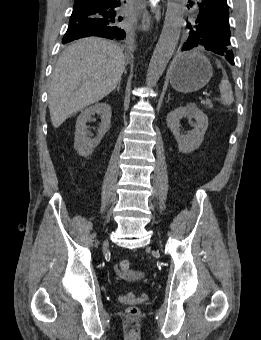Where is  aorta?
<instances>
[{
	"label": "aorta",
	"mask_w": 261,
	"mask_h": 340,
	"mask_svg": "<svg viewBox=\"0 0 261 340\" xmlns=\"http://www.w3.org/2000/svg\"><path fill=\"white\" fill-rule=\"evenodd\" d=\"M185 0H168L163 29L148 66L146 83L153 86L163 74L179 40Z\"/></svg>",
	"instance_id": "obj_1"
}]
</instances>
